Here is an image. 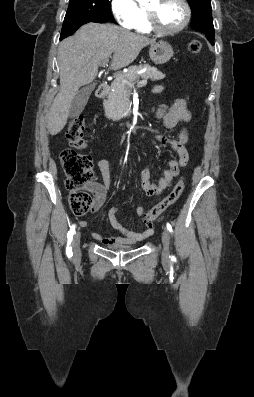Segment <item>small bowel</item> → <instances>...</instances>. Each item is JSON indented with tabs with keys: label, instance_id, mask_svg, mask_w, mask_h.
<instances>
[{
	"label": "small bowel",
	"instance_id": "small-bowel-1",
	"mask_svg": "<svg viewBox=\"0 0 254 397\" xmlns=\"http://www.w3.org/2000/svg\"><path fill=\"white\" fill-rule=\"evenodd\" d=\"M164 88L165 87L163 85H157L154 87L153 91L154 93H160ZM155 117L161 119L167 129H173L178 126L181 128V131L177 139L168 140L163 136H158L160 141L169 143L174 152V158L169 161V167L162 171L157 180L152 178L149 166H146L141 171V186L145 194L148 196H160L171 186L173 180L179 174L180 169L185 167L188 162V152L185 148V144L188 141V131L186 127L192 119V114L188 109V97L184 96L179 98L170 106L165 104L160 105L155 111ZM98 168L102 175V183L89 185V189L96 194L91 207V211L94 214L97 213L104 205L111 184L108 160H100L98 162ZM120 211V208L112 207L108 212V220L111 226L121 235L107 237L98 232L92 231L91 234L95 240L109 246L135 244L146 239L153 233L152 228L145 229L140 232L129 231L117 219V214ZM135 211L138 215H142L145 212V208L138 205L136 206ZM79 224L82 227L87 226L85 221H80Z\"/></svg>",
	"mask_w": 254,
	"mask_h": 397
}]
</instances>
